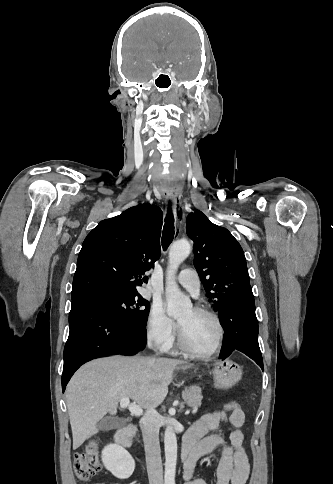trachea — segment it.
Returning <instances> with one entry per match:
<instances>
[{
	"label": "trachea",
	"instance_id": "trachea-1",
	"mask_svg": "<svg viewBox=\"0 0 333 484\" xmlns=\"http://www.w3.org/2000/svg\"><path fill=\"white\" fill-rule=\"evenodd\" d=\"M174 235H175L174 217L171 209L169 208L168 213L165 217V224L163 227V234H162V247L164 251L168 248V246L172 242Z\"/></svg>",
	"mask_w": 333,
	"mask_h": 484
}]
</instances>
